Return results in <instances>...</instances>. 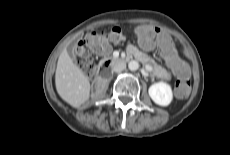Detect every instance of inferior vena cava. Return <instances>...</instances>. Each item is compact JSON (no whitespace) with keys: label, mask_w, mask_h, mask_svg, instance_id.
<instances>
[{"label":"inferior vena cava","mask_w":230,"mask_h":155,"mask_svg":"<svg viewBox=\"0 0 230 155\" xmlns=\"http://www.w3.org/2000/svg\"><path fill=\"white\" fill-rule=\"evenodd\" d=\"M126 68V63L124 61H117L113 67H112V71L113 72H121Z\"/></svg>","instance_id":"602c4592"}]
</instances>
